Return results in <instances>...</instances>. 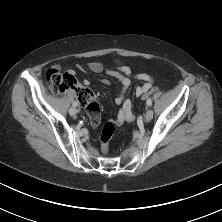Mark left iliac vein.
<instances>
[{
  "mask_svg": "<svg viewBox=\"0 0 222 222\" xmlns=\"http://www.w3.org/2000/svg\"><path fill=\"white\" fill-rule=\"evenodd\" d=\"M153 118V111L151 109H147L146 114H145V121L149 122Z\"/></svg>",
  "mask_w": 222,
  "mask_h": 222,
  "instance_id": "obj_1",
  "label": "left iliac vein"
}]
</instances>
